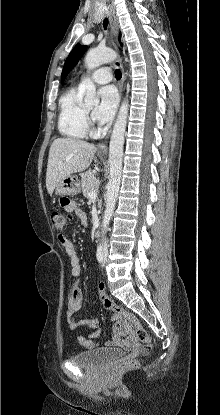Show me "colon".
<instances>
[{"label":"colon","mask_w":220,"mask_h":415,"mask_svg":"<svg viewBox=\"0 0 220 415\" xmlns=\"http://www.w3.org/2000/svg\"><path fill=\"white\" fill-rule=\"evenodd\" d=\"M51 221L57 231H62L69 221V214L65 211H53L51 213ZM99 299L103 307L112 312L117 319H123L130 323L134 328L137 339L145 344L148 349L151 348V340L148 332L143 327L140 320L131 311L117 305L104 292L99 293ZM137 364L136 360H128L123 362L120 366L124 368H134Z\"/></svg>","instance_id":"1"}]
</instances>
